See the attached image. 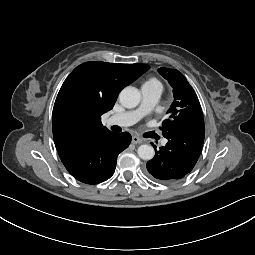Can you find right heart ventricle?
<instances>
[{
  "label": "right heart ventricle",
  "mask_w": 255,
  "mask_h": 255,
  "mask_svg": "<svg viewBox=\"0 0 255 255\" xmlns=\"http://www.w3.org/2000/svg\"><path fill=\"white\" fill-rule=\"evenodd\" d=\"M146 84H148V85H160V82L157 80V79H155V78H152V79H149L146 83H145V85ZM161 86V85H160Z\"/></svg>",
  "instance_id": "obj_1"
}]
</instances>
